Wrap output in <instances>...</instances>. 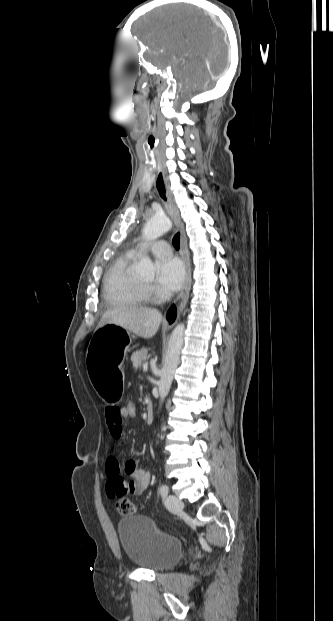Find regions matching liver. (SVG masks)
I'll return each instance as SVG.
<instances>
[{
    "instance_id": "1",
    "label": "liver",
    "mask_w": 333,
    "mask_h": 621,
    "mask_svg": "<svg viewBox=\"0 0 333 621\" xmlns=\"http://www.w3.org/2000/svg\"><path fill=\"white\" fill-rule=\"evenodd\" d=\"M162 321V315L158 310L137 306H123L107 310L96 329L106 324H114L148 339L153 337Z\"/></svg>"
}]
</instances>
